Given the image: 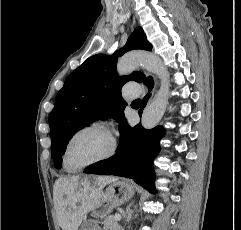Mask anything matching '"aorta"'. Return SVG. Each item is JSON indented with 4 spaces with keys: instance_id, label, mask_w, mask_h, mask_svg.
<instances>
[{
    "instance_id": "1",
    "label": "aorta",
    "mask_w": 241,
    "mask_h": 230,
    "mask_svg": "<svg viewBox=\"0 0 241 230\" xmlns=\"http://www.w3.org/2000/svg\"><path fill=\"white\" fill-rule=\"evenodd\" d=\"M139 65L156 74L161 86L153 101L144 109L141 124L145 129L154 128L162 119L169 99V73L160 58L148 52H131L124 55L117 63V73L127 75Z\"/></svg>"
}]
</instances>
